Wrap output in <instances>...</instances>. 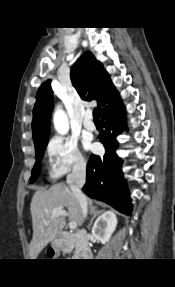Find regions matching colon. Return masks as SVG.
Here are the masks:
<instances>
[{
    "label": "colon",
    "instance_id": "1",
    "mask_svg": "<svg viewBox=\"0 0 175 287\" xmlns=\"http://www.w3.org/2000/svg\"><path fill=\"white\" fill-rule=\"evenodd\" d=\"M51 254H54L53 250L51 251Z\"/></svg>",
    "mask_w": 175,
    "mask_h": 287
}]
</instances>
